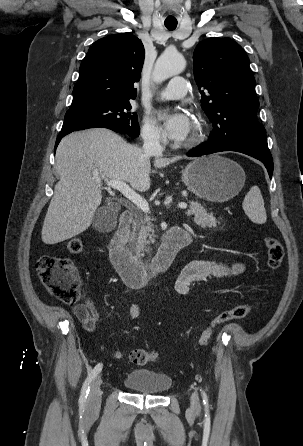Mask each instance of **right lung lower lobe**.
<instances>
[{
	"instance_id": "1",
	"label": "right lung lower lobe",
	"mask_w": 303,
	"mask_h": 446,
	"mask_svg": "<svg viewBox=\"0 0 303 446\" xmlns=\"http://www.w3.org/2000/svg\"><path fill=\"white\" fill-rule=\"evenodd\" d=\"M96 127H103V128L111 129V130H113V131H115V132H121V131L118 130L117 128H115V127H113V126H111V125H108V124H102V123H87V124H83V125L77 126V127L73 128V129H71V130H68V131H65V132H60L59 135H58V137H57V140H56L55 148L58 146L60 140H61L65 135H67V134H69V133H71V132H73V131L83 130V129H88V128H96Z\"/></svg>"
}]
</instances>
